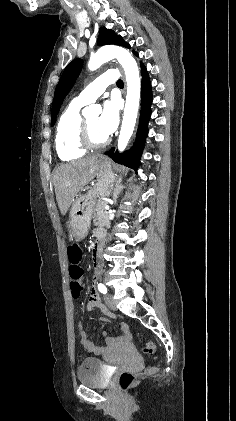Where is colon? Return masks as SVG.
<instances>
[{
	"mask_svg": "<svg viewBox=\"0 0 236 421\" xmlns=\"http://www.w3.org/2000/svg\"><path fill=\"white\" fill-rule=\"evenodd\" d=\"M68 252V259L70 262L69 267V274H70V288L71 293L74 298H78L83 290V268L80 266V262L82 260V250L77 244H72L67 249ZM156 345L153 342H147L143 346V352L145 354L151 355L155 352ZM155 372L154 368H150L148 373ZM139 374L132 373V372H123L120 374L118 383L119 387L123 391H127L128 389L132 388L137 380Z\"/></svg>",
	"mask_w": 236,
	"mask_h": 421,
	"instance_id": "5ec220e1",
	"label": "colon"
}]
</instances>
